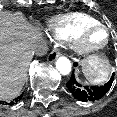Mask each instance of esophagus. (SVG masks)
Instances as JSON below:
<instances>
[{"label": "esophagus", "mask_w": 117, "mask_h": 117, "mask_svg": "<svg viewBox=\"0 0 117 117\" xmlns=\"http://www.w3.org/2000/svg\"><path fill=\"white\" fill-rule=\"evenodd\" d=\"M61 53L58 50H53L49 55H48V61L53 62L55 61Z\"/></svg>", "instance_id": "obj_1"}]
</instances>
